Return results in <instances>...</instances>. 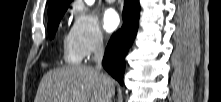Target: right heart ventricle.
<instances>
[{"mask_svg":"<svg viewBox=\"0 0 221 102\" xmlns=\"http://www.w3.org/2000/svg\"><path fill=\"white\" fill-rule=\"evenodd\" d=\"M62 56L67 63L75 64L81 60V57L76 52L70 34L63 38L62 42Z\"/></svg>","mask_w":221,"mask_h":102,"instance_id":"1","label":"right heart ventricle"}]
</instances>
